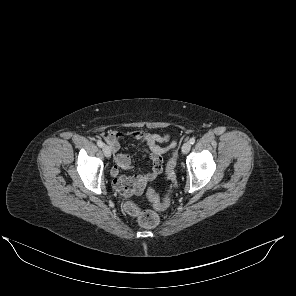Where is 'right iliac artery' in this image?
<instances>
[{
    "instance_id": "right-iliac-artery-1",
    "label": "right iliac artery",
    "mask_w": 296,
    "mask_h": 296,
    "mask_svg": "<svg viewBox=\"0 0 296 296\" xmlns=\"http://www.w3.org/2000/svg\"><path fill=\"white\" fill-rule=\"evenodd\" d=\"M97 145H98L99 147H102L104 144H103V142H102L101 140H98V141H97Z\"/></svg>"
}]
</instances>
